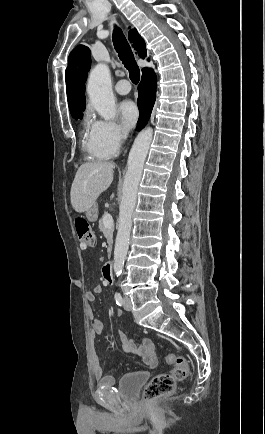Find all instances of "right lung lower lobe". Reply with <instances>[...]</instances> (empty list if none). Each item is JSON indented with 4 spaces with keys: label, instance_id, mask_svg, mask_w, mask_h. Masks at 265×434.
Listing matches in <instances>:
<instances>
[{
    "label": "right lung lower lobe",
    "instance_id": "98d812e1",
    "mask_svg": "<svg viewBox=\"0 0 265 434\" xmlns=\"http://www.w3.org/2000/svg\"><path fill=\"white\" fill-rule=\"evenodd\" d=\"M156 82V75L152 69H142V80L138 86L139 97L137 100L140 110L138 129L145 126L151 114L156 97Z\"/></svg>",
    "mask_w": 265,
    "mask_h": 434
}]
</instances>
